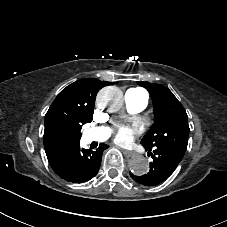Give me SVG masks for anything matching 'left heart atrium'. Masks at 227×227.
Listing matches in <instances>:
<instances>
[{
	"instance_id": "39dd6f15",
	"label": "left heart atrium",
	"mask_w": 227,
	"mask_h": 227,
	"mask_svg": "<svg viewBox=\"0 0 227 227\" xmlns=\"http://www.w3.org/2000/svg\"><path fill=\"white\" fill-rule=\"evenodd\" d=\"M143 131H144V125L139 120H135L131 124L115 123L113 138L116 143H129L136 136L142 134Z\"/></svg>"
}]
</instances>
